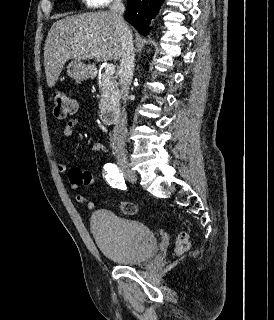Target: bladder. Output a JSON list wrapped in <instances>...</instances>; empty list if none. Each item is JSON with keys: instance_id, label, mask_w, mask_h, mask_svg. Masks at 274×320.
I'll use <instances>...</instances> for the list:
<instances>
[{"instance_id": "obj_1", "label": "bladder", "mask_w": 274, "mask_h": 320, "mask_svg": "<svg viewBox=\"0 0 274 320\" xmlns=\"http://www.w3.org/2000/svg\"><path fill=\"white\" fill-rule=\"evenodd\" d=\"M90 231L101 253L119 264H141L157 251V237L146 224L110 210L92 215Z\"/></svg>"}]
</instances>
